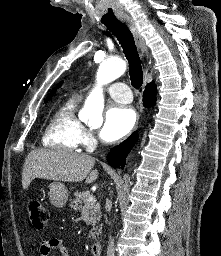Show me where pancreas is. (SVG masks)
I'll list each match as a JSON object with an SVG mask.
<instances>
[{
    "mask_svg": "<svg viewBox=\"0 0 221 256\" xmlns=\"http://www.w3.org/2000/svg\"><path fill=\"white\" fill-rule=\"evenodd\" d=\"M74 196L75 199L73 200L71 207L77 211H81L86 206L88 198L91 197L89 191L77 192L74 194ZM87 207H89L90 209L91 223L93 225V228L89 232L88 237L95 239L96 235L101 230V225H96L97 223L100 222L101 219V207L100 204L96 203L89 204Z\"/></svg>",
    "mask_w": 221,
    "mask_h": 256,
    "instance_id": "cf45deb5",
    "label": "pancreas"
}]
</instances>
